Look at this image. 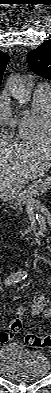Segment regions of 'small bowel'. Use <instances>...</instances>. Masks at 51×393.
Masks as SVG:
<instances>
[{
  "label": "small bowel",
  "instance_id": "c3829d8e",
  "mask_svg": "<svg viewBox=\"0 0 51 393\" xmlns=\"http://www.w3.org/2000/svg\"><path fill=\"white\" fill-rule=\"evenodd\" d=\"M36 303H40L41 304V308H37L36 307ZM31 313L36 315V314H40L43 313L45 316H48L50 311L48 309L45 308V300L42 296L39 295H35L32 297V305H31ZM15 314L18 317H21L25 314V307L24 306H18L15 310ZM12 337V333H4L3 335H1V341L2 342H7L9 341V339ZM15 345V344H12ZM17 346V345H16Z\"/></svg>",
  "mask_w": 51,
  "mask_h": 393
}]
</instances>
